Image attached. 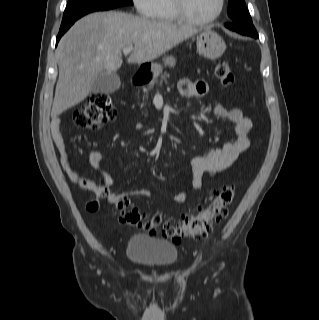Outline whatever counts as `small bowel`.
<instances>
[{
    "label": "small bowel",
    "mask_w": 319,
    "mask_h": 320,
    "mask_svg": "<svg viewBox=\"0 0 319 320\" xmlns=\"http://www.w3.org/2000/svg\"><path fill=\"white\" fill-rule=\"evenodd\" d=\"M180 93L188 98L203 96L208 91V86L203 81L191 82L183 79L179 83ZM213 113L218 118H223L233 124L235 130V139L226 143L223 147L210 150L206 153L194 156L191 159L192 179L189 186L177 194L171 201L176 204L184 203L191 191L200 189L203 186V175L208 173L214 175L229 168L238 156L247 150L251 144L250 133L252 121L244 116L238 108L227 109L222 104H216ZM51 133L54 146L58 152L60 163L74 184L84 190L92 192L97 197H104L109 204H115L122 197L120 194L110 192L113 185L112 177L102 168L106 156L98 151L92 152L88 156L90 166L98 173L102 179V184H98L92 179L84 177L74 166L69 152L67 150L64 137L60 131V120L54 118L51 120ZM133 195L149 198L154 194L152 189H140L132 192Z\"/></svg>",
    "instance_id": "obj_1"
}]
</instances>
